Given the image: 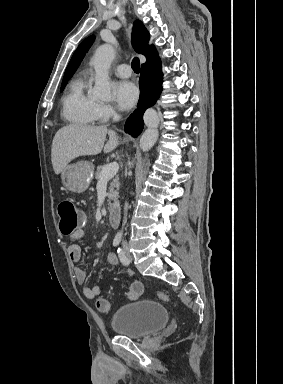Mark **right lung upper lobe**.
<instances>
[{"instance_id": "obj_1", "label": "right lung upper lobe", "mask_w": 283, "mask_h": 384, "mask_svg": "<svg viewBox=\"0 0 283 384\" xmlns=\"http://www.w3.org/2000/svg\"><path fill=\"white\" fill-rule=\"evenodd\" d=\"M94 39L95 36H89L78 46L66 68L62 83L68 82V80L72 77L81 61L83 60L86 52L92 45ZM149 39V32L143 23L139 20L135 21L132 31L133 48L136 52L146 57V62L142 64L141 69L154 68L161 65L155 47L153 45H148Z\"/></svg>"}]
</instances>
